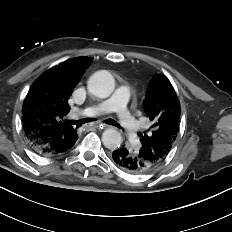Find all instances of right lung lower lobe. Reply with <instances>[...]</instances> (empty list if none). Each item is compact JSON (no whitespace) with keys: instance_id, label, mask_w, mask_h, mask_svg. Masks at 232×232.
<instances>
[{"instance_id":"right-lung-lower-lobe-1","label":"right lung lower lobe","mask_w":232,"mask_h":232,"mask_svg":"<svg viewBox=\"0 0 232 232\" xmlns=\"http://www.w3.org/2000/svg\"><path fill=\"white\" fill-rule=\"evenodd\" d=\"M77 138H75L74 140H71L66 145H64L62 142H60V143H56L50 147L43 148L41 150H36L33 147L32 148L40 155L53 156V155H57V154H62L64 152H67L68 150H70L73 147V145L75 144V142L77 141Z\"/></svg>"}]
</instances>
